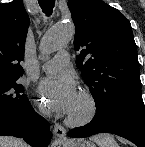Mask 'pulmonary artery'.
<instances>
[{
	"instance_id": "e3ab8cb5",
	"label": "pulmonary artery",
	"mask_w": 145,
	"mask_h": 147,
	"mask_svg": "<svg viewBox=\"0 0 145 147\" xmlns=\"http://www.w3.org/2000/svg\"><path fill=\"white\" fill-rule=\"evenodd\" d=\"M69 57L68 52L58 53L53 59L44 62L41 69L48 73H55L68 65Z\"/></svg>"
}]
</instances>
